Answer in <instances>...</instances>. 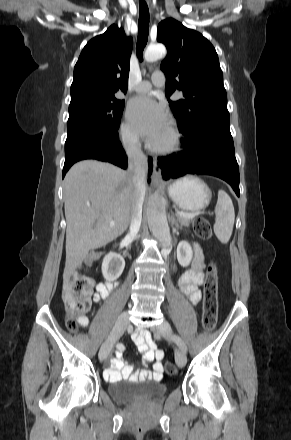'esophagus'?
Instances as JSON below:
<instances>
[{
	"instance_id": "34e87169",
	"label": "esophagus",
	"mask_w": 291,
	"mask_h": 440,
	"mask_svg": "<svg viewBox=\"0 0 291 440\" xmlns=\"http://www.w3.org/2000/svg\"><path fill=\"white\" fill-rule=\"evenodd\" d=\"M152 182L154 185H161L162 184L161 171L158 168L156 161H154V163H153Z\"/></svg>"
}]
</instances>
